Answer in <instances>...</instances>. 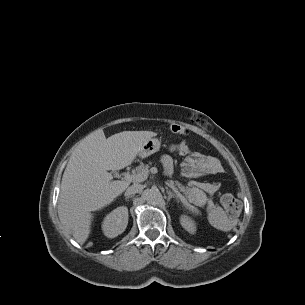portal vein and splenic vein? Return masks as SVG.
Segmentation results:
<instances>
[{
    "instance_id": "portal-vein-and-splenic-vein-1",
    "label": "portal vein and splenic vein",
    "mask_w": 305,
    "mask_h": 305,
    "mask_svg": "<svg viewBox=\"0 0 305 305\" xmlns=\"http://www.w3.org/2000/svg\"><path fill=\"white\" fill-rule=\"evenodd\" d=\"M148 172L149 171H144V172H141L139 174H133V175H130V174H125V180L131 182V181H135V182H142V181H145L148 177ZM150 172L155 174L158 172L157 168L156 167H152L150 169ZM180 197L183 198V196L180 195Z\"/></svg>"
}]
</instances>
